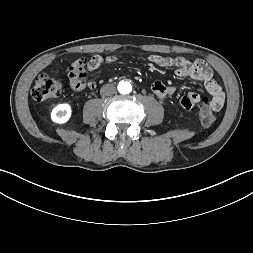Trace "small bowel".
I'll use <instances>...</instances> for the list:
<instances>
[{
	"label": "small bowel",
	"instance_id": "small-bowel-1",
	"mask_svg": "<svg viewBox=\"0 0 253 253\" xmlns=\"http://www.w3.org/2000/svg\"><path fill=\"white\" fill-rule=\"evenodd\" d=\"M83 63L86 59H78ZM149 61L154 64L156 69L160 67L176 66V74L180 77H191L201 81L207 92L211 96L210 106L219 111L224 106L225 96L219 83L214 79L212 70L203 61H188L184 58H165L158 55H151ZM174 88L161 82L155 81L152 84V91L159 99H165L173 92ZM200 101V95L191 91L180 101V106L184 110H190Z\"/></svg>",
	"mask_w": 253,
	"mask_h": 253
}]
</instances>
